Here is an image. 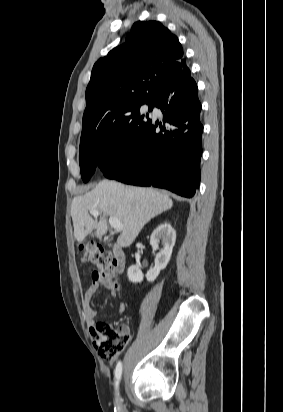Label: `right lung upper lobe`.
<instances>
[{
	"label": "right lung upper lobe",
	"mask_w": 283,
	"mask_h": 412,
	"mask_svg": "<svg viewBox=\"0 0 283 412\" xmlns=\"http://www.w3.org/2000/svg\"><path fill=\"white\" fill-rule=\"evenodd\" d=\"M188 77L177 37L159 22H136L126 42L93 66L81 139L111 129L138 105L155 104L165 88Z\"/></svg>",
	"instance_id": "1"
}]
</instances>
